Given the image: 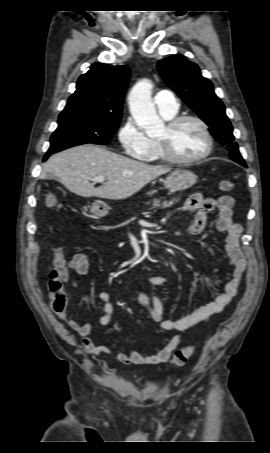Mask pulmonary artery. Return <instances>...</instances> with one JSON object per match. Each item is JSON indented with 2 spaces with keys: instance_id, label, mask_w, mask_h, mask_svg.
<instances>
[{
  "instance_id": "e3ab8cb5",
  "label": "pulmonary artery",
  "mask_w": 270,
  "mask_h": 453,
  "mask_svg": "<svg viewBox=\"0 0 270 453\" xmlns=\"http://www.w3.org/2000/svg\"><path fill=\"white\" fill-rule=\"evenodd\" d=\"M154 103L159 112L165 116H172L178 112L179 104L175 95L168 90H162L155 94Z\"/></svg>"
}]
</instances>
